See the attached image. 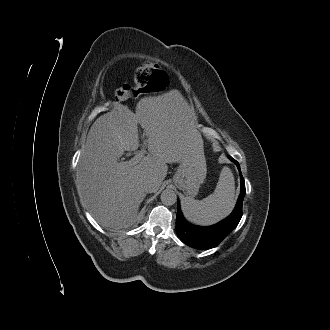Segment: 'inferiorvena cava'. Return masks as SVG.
Returning a JSON list of instances; mask_svg holds the SVG:
<instances>
[{
    "instance_id": "inferior-vena-cava-1",
    "label": "inferior vena cava",
    "mask_w": 330,
    "mask_h": 330,
    "mask_svg": "<svg viewBox=\"0 0 330 330\" xmlns=\"http://www.w3.org/2000/svg\"><path fill=\"white\" fill-rule=\"evenodd\" d=\"M158 185L153 178H147L143 181V190L146 193H153L157 191Z\"/></svg>"
}]
</instances>
